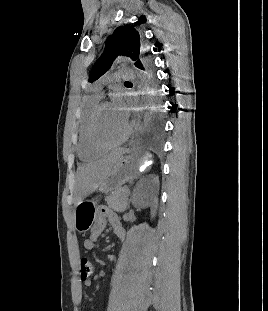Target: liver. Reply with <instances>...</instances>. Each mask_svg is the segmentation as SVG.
Here are the masks:
<instances>
[{"mask_svg": "<svg viewBox=\"0 0 268 311\" xmlns=\"http://www.w3.org/2000/svg\"><path fill=\"white\" fill-rule=\"evenodd\" d=\"M124 153V149H119L78 169L76 183L77 204L99 188L109 175L112 166Z\"/></svg>", "mask_w": 268, "mask_h": 311, "instance_id": "1", "label": "liver"}]
</instances>
